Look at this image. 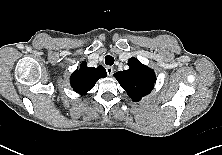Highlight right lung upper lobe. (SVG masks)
I'll use <instances>...</instances> for the list:
<instances>
[{
    "label": "right lung upper lobe",
    "instance_id": "cb5924a9",
    "mask_svg": "<svg viewBox=\"0 0 222 155\" xmlns=\"http://www.w3.org/2000/svg\"><path fill=\"white\" fill-rule=\"evenodd\" d=\"M106 76V70L102 66L97 68L87 67L86 62H83L80 68L71 75L70 83L76 93L85 95L94 87L98 79Z\"/></svg>",
    "mask_w": 222,
    "mask_h": 155
}]
</instances>
